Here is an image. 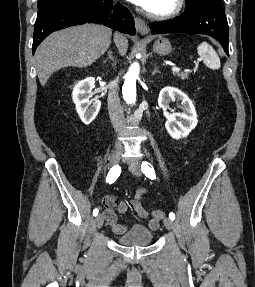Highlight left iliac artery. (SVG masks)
<instances>
[{"instance_id":"44dca946","label":"left iliac artery","mask_w":255,"mask_h":287,"mask_svg":"<svg viewBox=\"0 0 255 287\" xmlns=\"http://www.w3.org/2000/svg\"><path fill=\"white\" fill-rule=\"evenodd\" d=\"M141 170L142 172L145 174V176H147L150 179H155L156 178V174H155V170L152 167V165L146 161H143L141 164ZM169 218L171 220L175 219V214L173 212H171L169 214Z\"/></svg>"}]
</instances>
